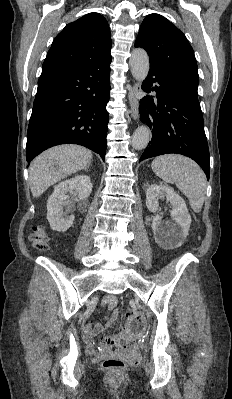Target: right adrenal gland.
<instances>
[{
  "label": "right adrenal gland",
  "instance_id": "right-adrenal-gland-1",
  "mask_svg": "<svg viewBox=\"0 0 232 399\" xmlns=\"http://www.w3.org/2000/svg\"><path fill=\"white\" fill-rule=\"evenodd\" d=\"M90 166H91V164H88V166H85V168H83V170H85V172H88Z\"/></svg>",
  "mask_w": 232,
  "mask_h": 399
}]
</instances>
